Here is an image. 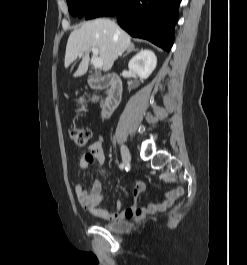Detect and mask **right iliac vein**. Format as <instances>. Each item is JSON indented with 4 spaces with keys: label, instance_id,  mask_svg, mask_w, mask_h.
I'll use <instances>...</instances> for the list:
<instances>
[{
    "label": "right iliac vein",
    "instance_id": "63e3f726",
    "mask_svg": "<svg viewBox=\"0 0 247 265\" xmlns=\"http://www.w3.org/2000/svg\"><path fill=\"white\" fill-rule=\"evenodd\" d=\"M121 156H122L123 162L125 164H129V162L131 161V154L129 152V149L125 145L121 146Z\"/></svg>",
    "mask_w": 247,
    "mask_h": 265
}]
</instances>
